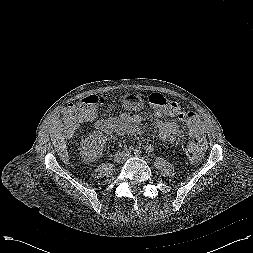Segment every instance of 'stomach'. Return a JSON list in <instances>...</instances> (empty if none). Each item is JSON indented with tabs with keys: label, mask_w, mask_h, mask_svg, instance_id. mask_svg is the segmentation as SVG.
Instances as JSON below:
<instances>
[{
	"label": "stomach",
	"mask_w": 253,
	"mask_h": 253,
	"mask_svg": "<svg viewBox=\"0 0 253 253\" xmlns=\"http://www.w3.org/2000/svg\"><path fill=\"white\" fill-rule=\"evenodd\" d=\"M122 107L127 111H140L144 107V100L138 94H126L122 100Z\"/></svg>",
	"instance_id": "stomach-1"
}]
</instances>
